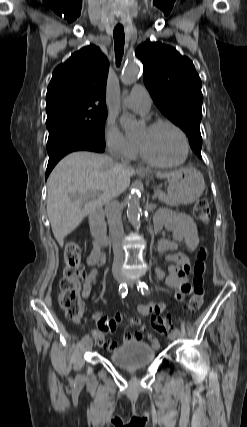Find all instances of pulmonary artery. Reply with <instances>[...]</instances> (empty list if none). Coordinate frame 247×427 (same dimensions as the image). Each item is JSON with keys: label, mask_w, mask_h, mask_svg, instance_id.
Instances as JSON below:
<instances>
[{"label": "pulmonary artery", "mask_w": 247, "mask_h": 427, "mask_svg": "<svg viewBox=\"0 0 247 427\" xmlns=\"http://www.w3.org/2000/svg\"><path fill=\"white\" fill-rule=\"evenodd\" d=\"M123 103L129 109L139 113H145L150 108L151 99L144 86L136 85L133 87L131 93L124 97Z\"/></svg>", "instance_id": "e3ab8cb5"}]
</instances>
